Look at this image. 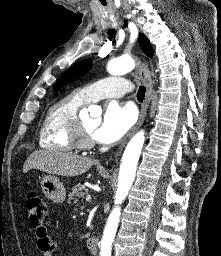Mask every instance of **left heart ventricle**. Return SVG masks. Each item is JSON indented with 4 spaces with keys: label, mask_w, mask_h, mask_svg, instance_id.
Returning a JSON list of instances; mask_svg holds the SVG:
<instances>
[{
    "label": "left heart ventricle",
    "mask_w": 221,
    "mask_h": 256,
    "mask_svg": "<svg viewBox=\"0 0 221 256\" xmlns=\"http://www.w3.org/2000/svg\"><path fill=\"white\" fill-rule=\"evenodd\" d=\"M85 130L89 133L92 134L93 130L96 128L98 122L96 120H85L82 122Z\"/></svg>",
    "instance_id": "b2bd125f"
}]
</instances>
